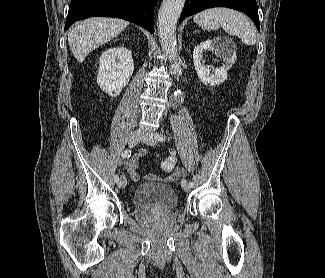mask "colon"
<instances>
[{
  "label": "colon",
  "mask_w": 325,
  "mask_h": 278,
  "mask_svg": "<svg viewBox=\"0 0 325 278\" xmlns=\"http://www.w3.org/2000/svg\"><path fill=\"white\" fill-rule=\"evenodd\" d=\"M175 166H176V159L173 156L164 159L161 163V169L165 173H171L175 169Z\"/></svg>",
  "instance_id": "5ec220e1"
}]
</instances>
